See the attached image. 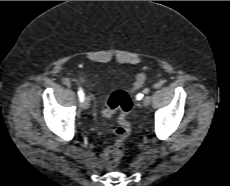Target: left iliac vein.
<instances>
[{"mask_svg":"<svg viewBox=\"0 0 230 186\" xmlns=\"http://www.w3.org/2000/svg\"><path fill=\"white\" fill-rule=\"evenodd\" d=\"M150 101H151L150 97L147 96L142 100V105L147 107L150 104Z\"/></svg>","mask_w":230,"mask_h":186,"instance_id":"4c4485c4","label":"left iliac vein"}]
</instances>
